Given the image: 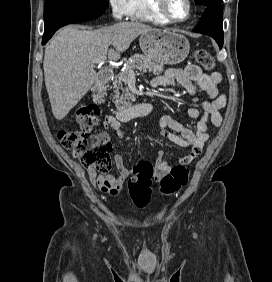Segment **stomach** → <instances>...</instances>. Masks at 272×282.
I'll list each match as a JSON object with an SVG mask.
<instances>
[{"instance_id":"stomach-1","label":"stomach","mask_w":272,"mask_h":282,"mask_svg":"<svg viewBox=\"0 0 272 282\" xmlns=\"http://www.w3.org/2000/svg\"><path fill=\"white\" fill-rule=\"evenodd\" d=\"M139 45L143 53L159 64H178L189 54L188 39L176 31L168 29H151L142 33Z\"/></svg>"}]
</instances>
